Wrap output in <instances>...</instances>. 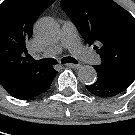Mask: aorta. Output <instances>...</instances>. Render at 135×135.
Instances as JSON below:
<instances>
[{"label":"aorta","mask_w":135,"mask_h":135,"mask_svg":"<svg viewBox=\"0 0 135 135\" xmlns=\"http://www.w3.org/2000/svg\"><path fill=\"white\" fill-rule=\"evenodd\" d=\"M35 34L41 41L53 43L59 40L60 31L54 21L43 19L35 25ZM96 78L97 73L92 66H83L78 71V79L84 84H93Z\"/></svg>","instance_id":"1"}]
</instances>
